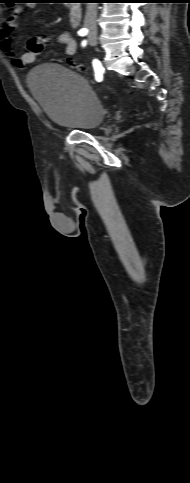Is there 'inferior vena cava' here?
I'll return each instance as SVG.
<instances>
[{
	"label": "inferior vena cava",
	"instance_id": "602c4592",
	"mask_svg": "<svg viewBox=\"0 0 190 483\" xmlns=\"http://www.w3.org/2000/svg\"><path fill=\"white\" fill-rule=\"evenodd\" d=\"M97 3H87L86 15L84 19L85 27L91 31H96Z\"/></svg>",
	"mask_w": 190,
	"mask_h": 483
}]
</instances>
